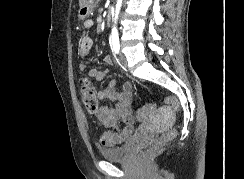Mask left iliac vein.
Listing matches in <instances>:
<instances>
[{
  "mask_svg": "<svg viewBox=\"0 0 244 179\" xmlns=\"http://www.w3.org/2000/svg\"><path fill=\"white\" fill-rule=\"evenodd\" d=\"M119 59H120V62L123 66H127V59L123 53H120Z\"/></svg>",
  "mask_w": 244,
  "mask_h": 179,
  "instance_id": "obj_1",
  "label": "left iliac vein"
}]
</instances>
